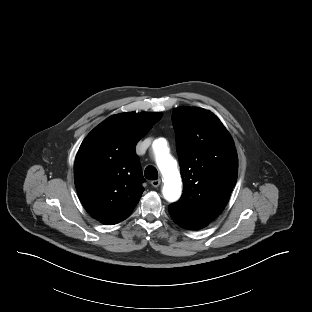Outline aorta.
I'll use <instances>...</instances> for the list:
<instances>
[{
    "label": "aorta",
    "mask_w": 312,
    "mask_h": 312,
    "mask_svg": "<svg viewBox=\"0 0 312 312\" xmlns=\"http://www.w3.org/2000/svg\"><path fill=\"white\" fill-rule=\"evenodd\" d=\"M166 142L157 139L153 143L156 163L164 178L163 195L169 202H174L181 195V178L177 162L167 153Z\"/></svg>",
    "instance_id": "aorta-1"
}]
</instances>
